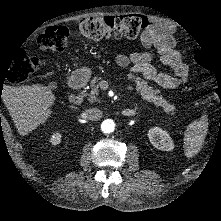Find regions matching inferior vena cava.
<instances>
[{
  "label": "inferior vena cava",
  "mask_w": 221,
  "mask_h": 221,
  "mask_svg": "<svg viewBox=\"0 0 221 221\" xmlns=\"http://www.w3.org/2000/svg\"><path fill=\"white\" fill-rule=\"evenodd\" d=\"M85 116L90 121H99L103 117V112L99 108H90L85 111Z\"/></svg>",
  "instance_id": "inferior-vena-cava-1"
}]
</instances>
